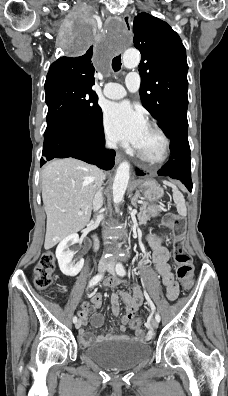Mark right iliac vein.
<instances>
[{"instance_id":"right-iliac-vein-1","label":"right iliac vein","mask_w":228,"mask_h":396,"mask_svg":"<svg viewBox=\"0 0 228 396\" xmlns=\"http://www.w3.org/2000/svg\"><path fill=\"white\" fill-rule=\"evenodd\" d=\"M107 266H108V264H107L105 261H101V262L99 263V265H98V271H99V272H104V271L106 270ZM80 326H81V321L78 320V321L75 323V328H76V329H79Z\"/></svg>"}]
</instances>
